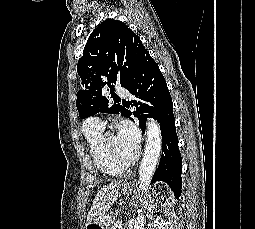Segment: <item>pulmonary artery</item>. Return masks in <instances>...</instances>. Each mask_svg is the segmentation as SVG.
<instances>
[{"mask_svg":"<svg viewBox=\"0 0 255 229\" xmlns=\"http://www.w3.org/2000/svg\"><path fill=\"white\" fill-rule=\"evenodd\" d=\"M116 92L124 97H126L128 95V91L125 88H122L119 86L116 87ZM87 121H88L89 127L104 128V126H105L104 122L98 117H91Z\"/></svg>","mask_w":255,"mask_h":229,"instance_id":"pulmonary-artery-1","label":"pulmonary artery"}]
</instances>
